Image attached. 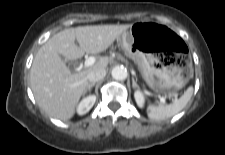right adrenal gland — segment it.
I'll list each match as a JSON object with an SVG mask.
<instances>
[{
  "label": "right adrenal gland",
  "instance_id": "1",
  "mask_svg": "<svg viewBox=\"0 0 225 155\" xmlns=\"http://www.w3.org/2000/svg\"><path fill=\"white\" fill-rule=\"evenodd\" d=\"M93 86H95V83L89 84L88 87H87V89H86V92H87V91H88V92H91V89H92Z\"/></svg>",
  "mask_w": 225,
  "mask_h": 155
}]
</instances>
